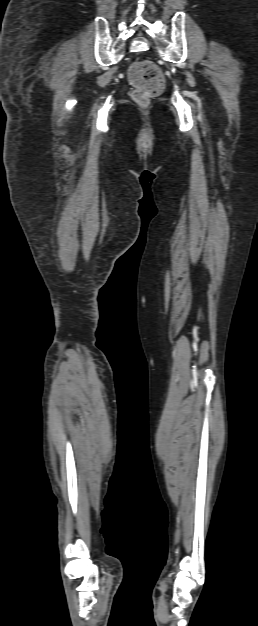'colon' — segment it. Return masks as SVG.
Segmentation results:
<instances>
[{
	"mask_svg": "<svg viewBox=\"0 0 258 626\" xmlns=\"http://www.w3.org/2000/svg\"><path fill=\"white\" fill-rule=\"evenodd\" d=\"M129 79L134 87L132 98L140 106H147L164 88V76L153 62L140 60L129 71Z\"/></svg>",
	"mask_w": 258,
	"mask_h": 626,
	"instance_id": "5ec220e1",
	"label": "colon"
}]
</instances>
